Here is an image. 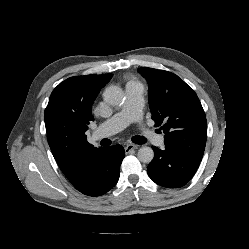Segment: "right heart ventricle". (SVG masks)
<instances>
[{"instance_id":"1","label":"right heart ventricle","mask_w":249,"mask_h":249,"mask_svg":"<svg viewBox=\"0 0 249 249\" xmlns=\"http://www.w3.org/2000/svg\"><path fill=\"white\" fill-rule=\"evenodd\" d=\"M130 85H140V84L136 80H130L128 81L127 86H130Z\"/></svg>"}]
</instances>
